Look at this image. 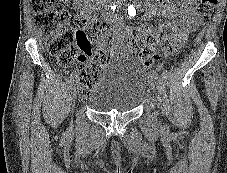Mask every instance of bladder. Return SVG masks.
<instances>
[{
  "mask_svg": "<svg viewBox=\"0 0 227 173\" xmlns=\"http://www.w3.org/2000/svg\"><path fill=\"white\" fill-rule=\"evenodd\" d=\"M146 93V69L136 59L113 61L100 74L87 104L98 112L126 113L141 104Z\"/></svg>",
  "mask_w": 227,
  "mask_h": 173,
  "instance_id": "obj_1",
  "label": "bladder"
}]
</instances>
